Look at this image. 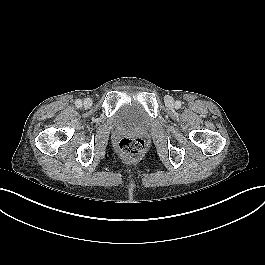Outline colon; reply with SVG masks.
<instances>
[{
	"mask_svg": "<svg viewBox=\"0 0 265 265\" xmlns=\"http://www.w3.org/2000/svg\"><path fill=\"white\" fill-rule=\"evenodd\" d=\"M146 143L142 138H122L118 143L119 152L127 157H137L144 153Z\"/></svg>",
	"mask_w": 265,
	"mask_h": 265,
	"instance_id": "1",
	"label": "colon"
}]
</instances>
